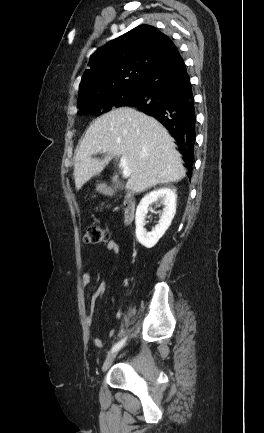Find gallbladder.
I'll list each match as a JSON object with an SVG mask.
<instances>
[{
  "label": "gallbladder",
  "mask_w": 264,
  "mask_h": 433,
  "mask_svg": "<svg viewBox=\"0 0 264 433\" xmlns=\"http://www.w3.org/2000/svg\"><path fill=\"white\" fill-rule=\"evenodd\" d=\"M113 184H114L115 188H122L123 187L120 183H118V181L115 178H113Z\"/></svg>",
  "instance_id": "bac80fb5"
}]
</instances>
